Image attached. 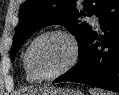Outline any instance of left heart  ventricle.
Here are the masks:
<instances>
[{
  "label": "left heart ventricle",
  "instance_id": "obj_1",
  "mask_svg": "<svg viewBox=\"0 0 119 95\" xmlns=\"http://www.w3.org/2000/svg\"><path fill=\"white\" fill-rule=\"evenodd\" d=\"M71 53V44L65 37L48 36L34 46L31 63L38 74L47 76L63 68L69 61Z\"/></svg>",
  "mask_w": 119,
  "mask_h": 95
}]
</instances>
